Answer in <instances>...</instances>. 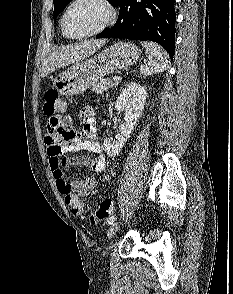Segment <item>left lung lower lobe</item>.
Wrapping results in <instances>:
<instances>
[{
  "mask_svg": "<svg viewBox=\"0 0 233 294\" xmlns=\"http://www.w3.org/2000/svg\"><path fill=\"white\" fill-rule=\"evenodd\" d=\"M174 0H120L119 17L109 30L96 38L150 40L174 55L176 14Z\"/></svg>",
  "mask_w": 233,
  "mask_h": 294,
  "instance_id": "left-lung-lower-lobe-1",
  "label": "left lung lower lobe"
}]
</instances>
